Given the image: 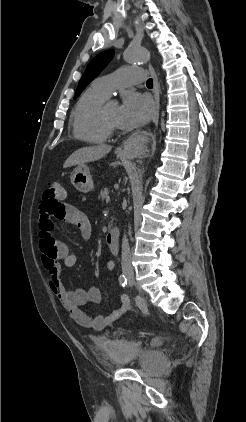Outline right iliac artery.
Here are the masks:
<instances>
[{"mask_svg": "<svg viewBox=\"0 0 246 422\" xmlns=\"http://www.w3.org/2000/svg\"><path fill=\"white\" fill-rule=\"evenodd\" d=\"M119 283H120V285L121 286H126V284H127V279H126V277H125V275L124 274H122V275H120V277H119Z\"/></svg>", "mask_w": 246, "mask_h": 422, "instance_id": "1", "label": "right iliac artery"}]
</instances>
